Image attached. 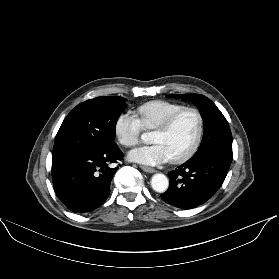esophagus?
<instances>
[{
    "label": "esophagus",
    "mask_w": 279,
    "mask_h": 279,
    "mask_svg": "<svg viewBox=\"0 0 279 279\" xmlns=\"http://www.w3.org/2000/svg\"><path fill=\"white\" fill-rule=\"evenodd\" d=\"M140 168L147 173H154L155 172V169L152 168V167L141 165Z\"/></svg>",
    "instance_id": "esophagus-1"
}]
</instances>
